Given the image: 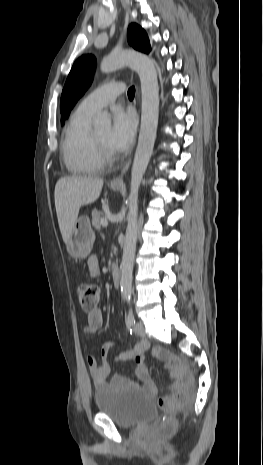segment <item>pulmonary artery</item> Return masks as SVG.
I'll return each mask as SVG.
<instances>
[{"mask_svg":"<svg viewBox=\"0 0 263 465\" xmlns=\"http://www.w3.org/2000/svg\"><path fill=\"white\" fill-rule=\"evenodd\" d=\"M124 91L122 82H110L88 94L79 104L78 110L87 114H95L103 107L113 103Z\"/></svg>","mask_w":263,"mask_h":465,"instance_id":"pulmonary-artery-1","label":"pulmonary artery"}]
</instances>
